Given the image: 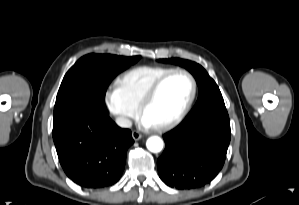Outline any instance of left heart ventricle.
I'll return each instance as SVG.
<instances>
[{"label": "left heart ventricle", "mask_w": 299, "mask_h": 205, "mask_svg": "<svg viewBox=\"0 0 299 205\" xmlns=\"http://www.w3.org/2000/svg\"><path fill=\"white\" fill-rule=\"evenodd\" d=\"M191 81L185 74H175L161 87L143 117L152 126L175 117L184 107L191 94Z\"/></svg>", "instance_id": "left-heart-ventricle-1"}]
</instances>
